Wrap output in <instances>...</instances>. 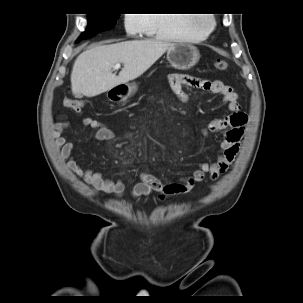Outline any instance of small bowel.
<instances>
[{"label":"small bowel","mask_w":303,"mask_h":303,"mask_svg":"<svg viewBox=\"0 0 303 303\" xmlns=\"http://www.w3.org/2000/svg\"><path fill=\"white\" fill-rule=\"evenodd\" d=\"M168 82L171 90L182 103H187L190 100L188 94L184 91V86L197 90H207L219 96L230 112V116L211 120L202 128V132L206 134L209 132L227 131L220 142V152L215 161L203 162L200 169L193 172V174L184 176L171 183H163L156 176L143 172L141 173V182L136 184L132 191V196L135 198L145 197L152 192H156L160 200H165L168 197L189 192L196 183L204 179L206 174L212 179H217L229 169L235 160L244 136L247 117L241 113L238 94L232 86L219 80L208 82L184 73L170 74ZM82 123L96 130L95 138L99 141H111L117 138L116 133L99 120L86 117L82 120ZM70 127L69 121H62L56 124L51 131L54 147L62 160L71 172L82 178L95 192L113 194L115 197L120 198L125 191V184L121 179L113 180L92 169H85L73 157L75 145L69 142L67 137L62 134Z\"/></svg>","instance_id":"1"}]
</instances>
